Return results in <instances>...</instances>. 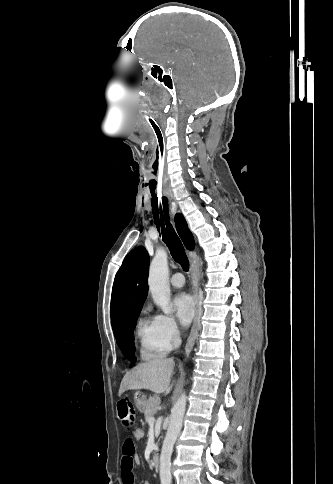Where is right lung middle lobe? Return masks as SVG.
<instances>
[{"mask_svg": "<svg viewBox=\"0 0 333 484\" xmlns=\"http://www.w3.org/2000/svg\"><path fill=\"white\" fill-rule=\"evenodd\" d=\"M139 311L131 313L114 331L117 344L120 346L123 354L131 361L130 367L136 362L135 344L133 339V330Z\"/></svg>", "mask_w": 333, "mask_h": 484, "instance_id": "dd1d6c3e", "label": "right lung middle lobe"}]
</instances>
